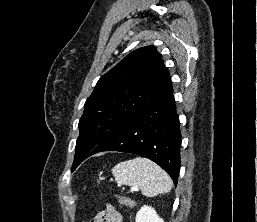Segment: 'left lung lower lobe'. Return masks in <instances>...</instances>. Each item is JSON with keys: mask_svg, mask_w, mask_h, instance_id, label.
Segmentation results:
<instances>
[{"mask_svg": "<svg viewBox=\"0 0 257 222\" xmlns=\"http://www.w3.org/2000/svg\"><path fill=\"white\" fill-rule=\"evenodd\" d=\"M179 124L171 83L98 152L120 151L146 157L163 168L177 185L181 146Z\"/></svg>", "mask_w": 257, "mask_h": 222, "instance_id": "1", "label": "left lung lower lobe"}]
</instances>
